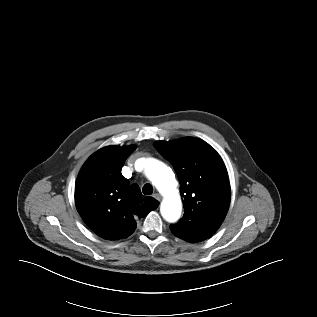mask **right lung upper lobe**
Wrapping results in <instances>:
<instances>
[{
    "mask_svg": "<svg viewBox=\"0 0 317 317\" xmlns=\"http://www.w3.org/2000/svg\"><path fill=\"white\" fill-rule=\"evenodd\" d=\"M135 146H107L85 162L75 185V204L83 221L97 235L117 240L131 235L136 220L155 210L159 202L143 196L137 184L121 174Z\"/></svg>",
    "mask_w": 317,
    "mask_h": 317,
    "instance_id": "right-lung-upper-lobe-1",
    "label": "right lung upper lobe"
}]
</instances>
